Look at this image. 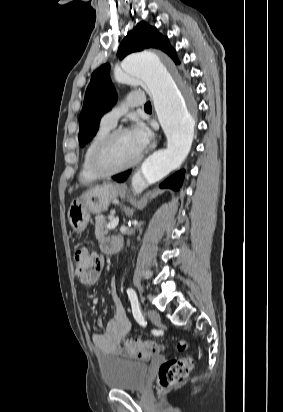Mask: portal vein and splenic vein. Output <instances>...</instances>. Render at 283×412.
<instances>
[{
    "mask_svg": "<svg viewBox=\"0 0 283 412\" xmlns=\"http://www.w3.org/2000/svg\"><path fill=\"white\" fill-rule=\"evenodd\" d=\"M118 223H119V218H118V217L113 218V219H111L110 222L108 223L107 228H108V229H114V228L117 227Z\"/></svg>",
    "mask_w": 283,
    "mask_h": 412,
    "instance_id": "obj_1",
    "label": "portal vein and splenic vein"
}]
</instances>
